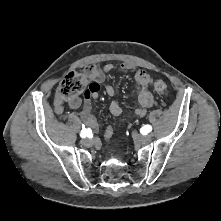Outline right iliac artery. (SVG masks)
I'll use <instances>...</instances> for the list:
<instances>
[{
    "label": "right iliac artery",
    "instance_id": "82829eb1",
    "mask_svg": "<svg viewBox=\"0 0 221 221\" xmlns=\"http://www.w3.org/2000/svg\"><path fill=\"white\" fill-rule=\"evenodd\" d=\"M92 134L91 129L90 128H83V130L80 133V136L82 138H86L89 137Z\"/></svg>",
    "mask_w": 221,
    "mask_h": 221
}]
</instances>
